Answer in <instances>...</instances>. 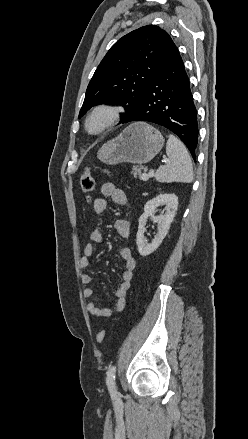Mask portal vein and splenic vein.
<instances>
[{
  "instance_id": "portal-vein-and-splenic-vein-1",
  "label": "portal vein and splenic vein",
  "mask_w": 248,
  "mask_h": 439,
  "mask_svg": "<svg viewBox=\"0 0 248 439\" xmlns=\"http://www.w3.org/2000/svg\"><path fill=\"white\" fill-rule=\"evenodd\" d=\"M153 175H154V170H153V169H150L148 174H143V176H142V180H143V181H147L148 178H149V176H153Z\"/></svg>"
}]
</instances>
